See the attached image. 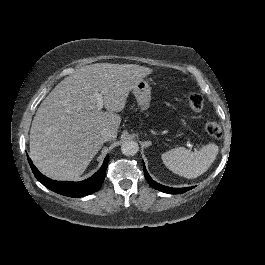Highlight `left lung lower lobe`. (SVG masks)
Instances as JSON below:
<instances>
[{"label": "left lung lower lobe", "mask_w": 265, "mask_h": 265, "mask_svg": "<svg viewBox=\"0 0 265 265\" xmlns=\"http://www.w3.org/2000/svg\"><path fill=\"white\" fill-rule=\"evenodd\" d=\"M143 169H144V174H145V178L146 180L148 181V183L151 185V187L159 190V191H162V192H165V193H170V194H181V193H184L190 189H192L193 187H186V188H171V187H167V186H164V185H161L157 182H155L148 174V172L146 171L145 169V165L143 164Z\"/></svg>", "instance_id": "0a47b994"}]
</instances>
